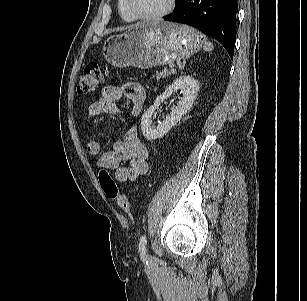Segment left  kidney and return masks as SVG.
Listing matches in <instances>:
<instances>
[{"label":"left kidney","mask_w":307,"mask_h":301,"mask_svg":"<svg viewBox=\"0 0 307 301\" xmlns=\"http://www.w3.org/2000/svg\"><path fill=\"white\" fill-rule=\"evenodd\" d=\"M200 88L199 82L190 76H181L173 81L164 93L159 95L154 104L149 107L141 118V130L147 140H155L164 136L181 118L190 110L194 100L197 97ZM181 90L183 97L180 98L177 106L173 108L171 113L158 124L155 128L151 126V117L155 110L159 107L164 99L171 96L172 93Z\"/></svg>","instance_id":"obj_1"}]
</instances>
